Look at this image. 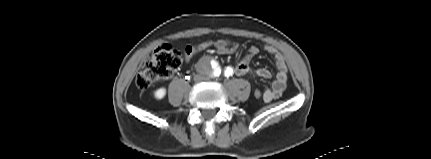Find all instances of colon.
<instances>
[{"instance_id": "1", "label": "colon", "mask_w": 431, "mask_h": 159, "mask_svg": "<svg viewBox=\"0 0 431 159\" xmlns=\"http://www.w3.org/2000/svg\"><path fill=\"white\" fill-rule=\"evenodd\" d=\"M218 57H231L233 49L216 48L213 50ZM186 52L176 49L170 45H162L156 48L146 62L140 68L135 83L138 88L146 89L153 83L168 78L182 64ZM254 98L263 97V92L259 89L252 91Z\"/></svg>"}]
</instances>
